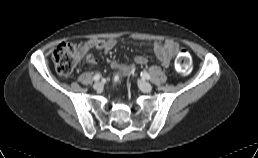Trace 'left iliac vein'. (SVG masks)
I'll return each mask as SVG.
<instances>
[{
  "instance_id": "4c4485c4",
  "label": "left iliac vein",
  "mask_w": 258,
  "mask_h": 158,
  "mask_svg": "<svg viewBox=\"0 0 258 158\" xmlns=\"http://www.w3.org/2000/svg\"><path fill=\"white\" fill-rule=\"evenodd\" d=\"M138 85L143 92H150L152 90V86L144 80H139Z\"/></svg>"
}]
</instances>
